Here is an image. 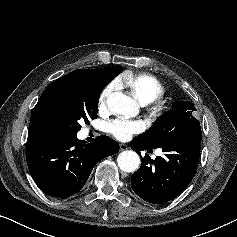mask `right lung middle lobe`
<instances>
[{"label": "right lung middle lobe", "mask_w": 237, "mask_h": 237, "mask_svg": "<svg viewBox=\"0 0 237 237\" xmlns=\"http://www.w3.org/2000/svg\"><path fill=\"white\" fill-rule=\"evenodd\" d=\"M122 66L91 69L94 87L89 91L59 85L52 91L49 117L52 132L77 134L80 122L97 118L98 102L103 88L121 71Z\"/></svg>", "instance_id": "right-lung-middle-lobe-1"}]
</instances>
